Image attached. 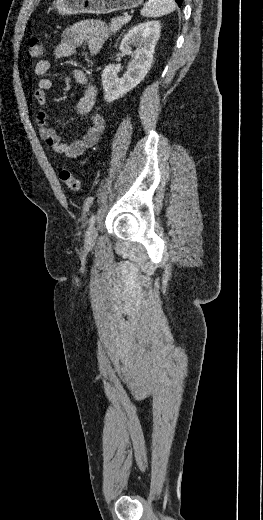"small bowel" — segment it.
Listing matches in <instances>:
<instances>
[{"mask_svg":"<svg viewBox=\"0 0 263 520\" xmlns=\"http://www.w3.org/2000/svg\"><path fill=\"white\" fill-rule=\"evenodd\" d=\"M107 36L108 28L102 21L86 20L78 22L63 32L60 43L54 49V55L56 58H69L82 45H85L90 53L96 54L101 49ZM50 68L51 64L48 60H40L34 66V73L38 77V82L33 97L40 107L35 114V124L40 138L51 150L68 158H76L98 142L105 121L102 115L91 114L89 125L85 128L82 136L70 143L64 142L56 130L49 125L48 114L45 110L47 91L52 86V81L47 77ZM73 77L83 87V94L76 106L77 113L82 116L88 115L97 100V87L89 82L86 74L78 68L73 69Z\"/></svg>","mask_w":263,"mask_h":520,"instance_id":"obj_1","label":"small bowel"}]
</instances>
